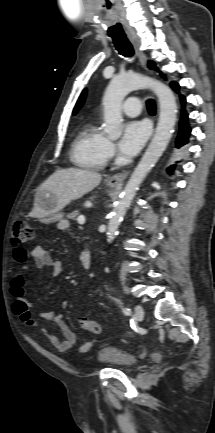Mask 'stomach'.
Here are the masks:
<instances>
[{
  "mask_svg": "<svg viewBox=\"0 0 215 433\" xmlns=\"http://www.w3.org/2000/svg\"><path fill=\"white\" fill-rule=\"evenodd\" d=\"M110 188H115L116 185L108 184ZM35 200L38 207L45 212V215L40 217V221L44 224H51L63 219V215L59 209L55 207V195L46 190H37Z\"/></svg>",
  "mask_w": 215,
  "mask_h": 433,
  "instance_id": "stomach-1",
  "label": "stomach"
}]
</instances>
